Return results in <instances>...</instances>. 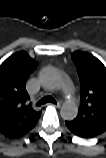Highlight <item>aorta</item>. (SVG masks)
<instances>
[{"instance_id": "obj_1", "label": "aorta", "mask_w": 106, "mask_h": 158, "mask_svg": "<svg viewBox=\"0 0 106 158\" xmlns=\"http://www.w3.org/2000/svg\"><path fill=\"white\" fill-rule=\"evenodd\" d=\"M42 81L50 88H58L62 84V77L57 71L48 69L43 73ZM77 113L78 107L72 101L65 102L60 110L61 117L64 120H73L77 116Z\"/></svg>"}]
</instances>
